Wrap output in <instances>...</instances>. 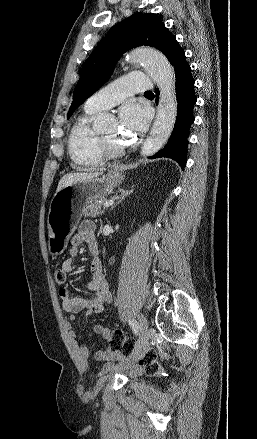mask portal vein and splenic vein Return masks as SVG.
Segmentation results:
<instances>
[{
  "label": "portal vein and splenic vein",
  "mask_w": 257,
  "mask_h": 439,
  "mask_svg": "<svg viewBox=\"0 0 257 439\" xmlns=\"http://www.w3.org/2000/svg\"><path fill=\"white\" fill-rule=\"evenodd\" d=\"M114 201L113 200H108L104 203V207H109L111 205H113Z\"/></svg>",
  "instance_id": "portal-vein-and-splenic-vein-1"
}]
</instances>
